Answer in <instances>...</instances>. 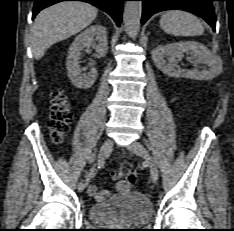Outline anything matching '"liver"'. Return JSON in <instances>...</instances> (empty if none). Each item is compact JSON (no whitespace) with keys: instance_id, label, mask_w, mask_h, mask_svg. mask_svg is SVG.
<instances>
[{"instance_id":"obj_1","label":"liver","mask_w":234,"mask_h":231,"mask_svg":"<svg viewBox=\"0 0 234 231\" xmlns=\"http://www.w3.org/2000/svg\"><path fill=\"white\" fill-rule=\"evenodd\" d=\"M96 16L97 9L84 2H61L42 10L31 29L34 57L41 59L50 46L79 33Z\"/></svg>"}]
</instances>
